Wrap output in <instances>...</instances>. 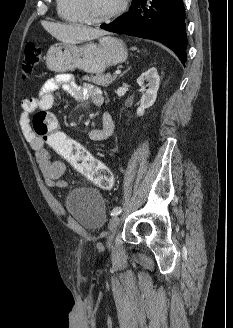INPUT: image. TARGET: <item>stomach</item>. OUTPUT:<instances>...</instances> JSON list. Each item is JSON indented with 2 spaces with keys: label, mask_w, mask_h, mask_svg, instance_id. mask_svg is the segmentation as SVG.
Instances as JSON below:
<instances>
[{
  "label": "stomach",
  "mask_w": 233,
  "mask_h": 328,
  "mask_svg": "<svg viewBox=\"0 0 233 328\" xmlns=\"http://www.w3.org/2000/svg\"><path fill=\"white\" fill-rule=\"evenodd\" d=\"M126 58V47L121 39L103 36L98 43L55 44L49 48L45 59L51 71L67 72L78 68L88 73L101 74L107 67L122 63Z\"/></svg>",
  "instance_id": "stomach-1"
}]
</instances>
